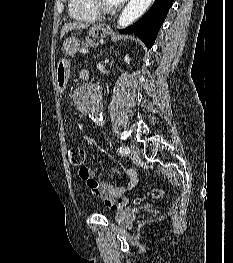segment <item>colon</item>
I'll return each instance as SVG.
<instances>
[{
    "mask_svg": "<svg viewBox=\"0 0 233 263\" xmlns=\"http://www.w3.org/2000/svg\"><path fill=\"white\" fill-rule=\"evenodd\" d=\"M68 156H69L70 164L74 167H79L81 175L84 177H87L88 176V170L84 166V163L86 160V153H85L84 149H82L81 147H71L68 150ZM163 196H164L163 189L155 188V189L151 190L150 192H148L143 197H139V198L135 199L132 203L139 204L147 197H150L152 199H160ZM122 199L124 201H126L127 203L130 202V200L127 196H123Z\"/></svg>",
    "mask_w": 233,
    "mask_h": 263,
    "instance_id": "colon-1",
    "label": "colon"
}]
</instances>
